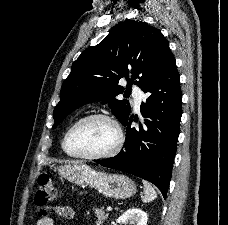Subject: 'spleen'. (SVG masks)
Returning <instances> with one entry per match:
<instances>
[{"label": "spleen", "mask_w": 228, "mask_h": 225, "mask_svg": "<svg viewBox=\"0 0 228 225\" xmlns=\"http://www.w3.org/2000/svg\"><path fill=\"white\" fill-rule=\"evenodd\" d=\"M144 185V195L141 197L143 203H151V201H154L157 197V193L153 187H151L150 183H147V181H142Z\"/></svg>", "instance_id": "spleen-1"}]
</instances>
